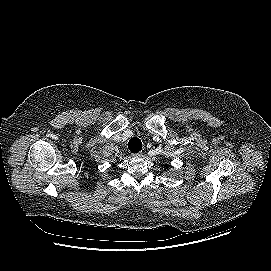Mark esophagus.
<instances>
[{
  "mask_svg": "<svg viewBox=\"0 0 271 271\" xmlns=\"http://www.w3.org/2000/svg\"><path fill=\"white\" fill-rule=\"evenodd\" d=\"M141 155H142V153H141V152H138V153H133V154H132V156H134V157L141 156Z\"/></svg>",
  "mask_w": 271,
  "mask_h": 271,
  "instance_id": "1",
  "label": "esophagus"
}]
</instances>
